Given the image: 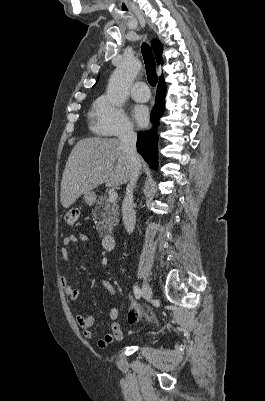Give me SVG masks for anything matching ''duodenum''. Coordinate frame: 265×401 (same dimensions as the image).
<instances>
[{
    "instance_id": "obj_1",
    "label": "duodenum",
    "mask_w": 265,
    "mask_h": 401,
    "mask_svg": "<svg viewBox=\"0 0 265 401\" xmlns=\"http://www.w3.org/2000/svg\"><path fill=\"white\" fill-rule=\"evenodd\" d=\"M102 244L106 250L111 251L115 248L116 238L113 235H106L103 238Z\"/></svg>"
}]
</instances>
